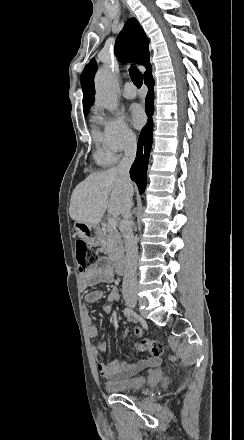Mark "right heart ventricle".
<instances>
[{
	"label": "right heart ventricle",
	"mask_w": 244,
	"mask_h": 440,
	"mask_svg": "<svg viewBox=\"0 0 244 440\" xmlns=\"http://www.w3.org/2000/svg\"><path fill=\"white\" fill-rule=\"evenodd\" d=\"M91 122H92V137H93L94 142L98 145V150L96 153V160L101 164L114 163L117 160V158L112 152H110L106 148L104 134L102 132H100V130L98 129V127L96 125V123H97L96 117H93L91 119ZM102 147H104V149H101Z\"/></svg>",
	"instance_id": "e07e8e85"
}]
</instances>
